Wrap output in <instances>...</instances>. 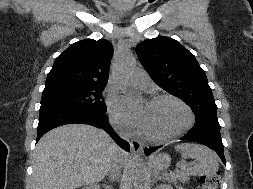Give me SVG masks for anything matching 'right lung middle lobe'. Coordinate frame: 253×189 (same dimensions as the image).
I'll return each mask as SVG.
<instances>
[{"label":"right lung middle lobe","instance_id":"1","mask_svg":"<svg viewBox=\"0 0 253 189\" xmlns=\"http://www.w3.org/2000/svg\"><path fill=\"white\" fill-rule=\"evenodd\" d=\"M105 87L60 86L44 89L41 107H67L105 113L107 108L101 92Z\"/></svg>","mask_w":253,"mask_h":189}]
</instances>
